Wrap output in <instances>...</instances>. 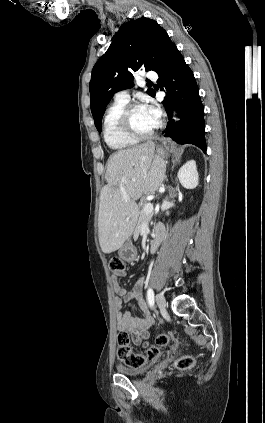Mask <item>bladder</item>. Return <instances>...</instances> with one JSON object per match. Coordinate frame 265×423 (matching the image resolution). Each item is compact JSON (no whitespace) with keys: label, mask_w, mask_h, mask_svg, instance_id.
<instances>
[{"label":"bladder","mask_w":265,"mask_h":423,"mask_svg":"<svg viewBox=\"0 0 265 423\" xmlns=\"http://www.w3.org/2000/svg\"><path fill=\"white\" fill-rule=\"evenodd\" d=\"M146 367L141 368H128L123 365H117L116 370L119 374L131 377H138L143 375L146 372Z\"/></svg>","instance_id":"1"}]
</instances>
